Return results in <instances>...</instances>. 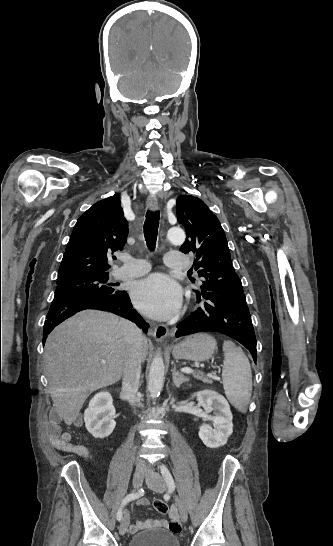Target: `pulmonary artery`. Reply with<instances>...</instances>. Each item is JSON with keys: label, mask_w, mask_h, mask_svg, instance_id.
Here are the masks:
<instances>
[{"label": "pulmonary artery", "mask_w": 333, "mask_h": 546, "mask_svg": "<svg viewBox=\"0 0 333 546\" xmlns=\"http://www.w3.org/2000/svg\"><path fill=\"white\" fill-rule=\"evenodd\" d=\"M123 262L124 264L113 273L116 279L140 276L150 270L149 263L143 259L124 257ZM164 263L173 269H186L189 265V260L179 252L170 251L166 253Z\"/></svg>", "instance_id": "pulmonary-artery-1"}]
</instances>
